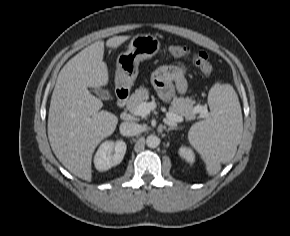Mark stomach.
<instances>
[{"label": "stomach", "instance_id": "obj_1", "mask_svg": "<svg viewBox=\"0 0 290 236\" xmlns=\"http://www.w3.org/2000/svg\"><path fill=\"white\" fill-rule=\"evenodd\" d=\"M160 41L150 34L133 37L126 52L117 58L115 83L117 87L130 88L137 77L140 61L150 59L160 50Z\"/></svg>", "mask_w": 290, "mask_h": 236}]
</instances>
